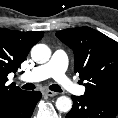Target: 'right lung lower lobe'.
<instances>
[{
    "label": "right lung lower lobe",
    "mask_w": 118,
    "mask_h": 118,
    "mask_svg": "<svg viewBox=\"0 0 118 118\" xmlns=\"http://www.w3.org/2000/svg\"><path fill=\"white\" fill-rule=\"evenodd\" d=\"M40 98L41 92H28L22 98L0 109V118H30Z\"/></svg>",
    "instance_id": "right-lung-lower-lobe-1"
}]
</instances>
